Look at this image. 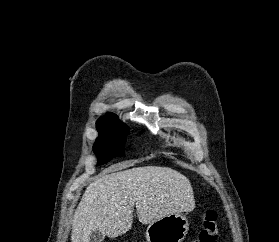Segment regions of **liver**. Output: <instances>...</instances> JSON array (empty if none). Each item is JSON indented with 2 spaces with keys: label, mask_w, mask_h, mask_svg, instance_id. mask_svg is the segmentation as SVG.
<instances>
[{
  "label": "liver",
  "mask_w": 279,
  "mask_h": 242,
  "mask_svg": "<svg viewBox=\"0 0 279 242\" xmlns=\"http://www.w3.org/2000/svg\"><path fill=\"white\" fill-rule=\"evenodd\" d=\"M107 169L85 190L74 213L71 242H90L99 231L114 238L131 229L134 206L142 224L195 208L187 177L168 167L144 166L121 171Z\"/></svg>",
  "instance_id": "1"
}]
</instances>
